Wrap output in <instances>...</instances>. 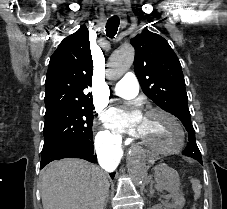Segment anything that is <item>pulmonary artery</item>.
<instances>
[{
    "label": "pulmonary artery",
    "mask_w": 227,
    "mask_h": 209,
    "mask_svg": "<svg viewBox=\"0 0 227 209\" xmlns=\"http://www.w3.org/2000/svg\"><path fill=\"white\" fill-rule=\"evenodd\" d=\"M123 77L124 78L120 80L113 89V94L123 98H132L138 93L139 89L136 74L124 73Z\"/></svg>",
    "instance_id": "obj_1"
}]
</instances>
